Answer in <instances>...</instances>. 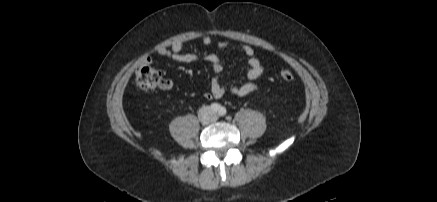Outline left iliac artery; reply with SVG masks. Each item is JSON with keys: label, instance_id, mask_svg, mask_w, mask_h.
Listing matches in <instances>:
<instances>
[{"label": "left iliac artery", "instance_id": "1", "mask_svg": "<svg viewBox=\"0 0 437 202\" xmlns=\"http://www.w3.org/2000/svg\"><path fill=\"white\" fill-rule=\"evenodd\" d=\"M226 112H227L226 108L225 107H221L220 110H219V115L220 116H224L226 114Z\"/></svg>", "mask_w": 437, "mask_h": 202}]
</instances>
